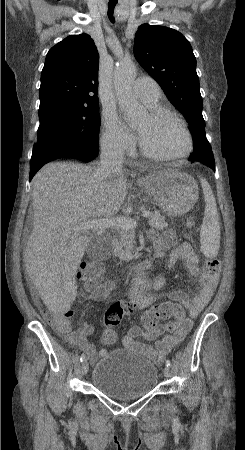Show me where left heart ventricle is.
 Here are the masks:
<instances>
[{
	"label": "left heart ventricle",
	"instance_id": "1",
	"mask_svg": "<svg viewBox=\"0 0 245 450\" xmlns=\"http://www.w3.org/2000/svg\"><path fill=\"white\" fill-rule=\"evenodd\" d=\"M144 147L158 155L171 156L183 153L188 145L180 125L169 118L154 120L148 115L137 127Z\"/></svg>",
	"mask_w": 245,
	"mask_h": 450
}]
</instances>
